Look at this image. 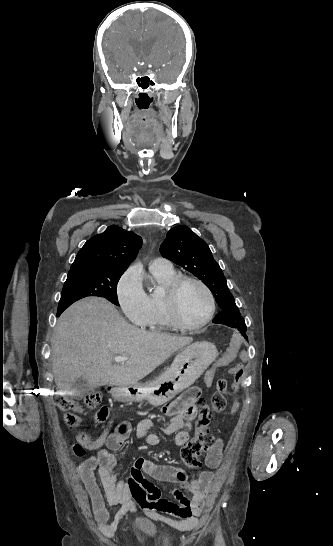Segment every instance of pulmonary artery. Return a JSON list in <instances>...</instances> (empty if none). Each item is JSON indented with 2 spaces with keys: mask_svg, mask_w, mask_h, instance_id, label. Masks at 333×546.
Masks as SVG:
<instances>
[{
  "mask_svg": "<svg viewBox=\"0 0 333 546\" xmlns=\"http://www.w3.org/2000/svg\"><path fill=\"white\" fill-rule=\"evenodd\" d=\"M150 270L155 271H171L173 270V266L170 260L163 258V257H157L154 260L150 262L149 265Z\"/></svg>",
  "mask_w": 333,
  "mask_h": 546,
  "instance_id": "1",
  "label": "pulmonary artery"
}]
</instances>
